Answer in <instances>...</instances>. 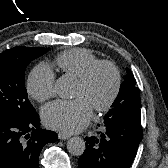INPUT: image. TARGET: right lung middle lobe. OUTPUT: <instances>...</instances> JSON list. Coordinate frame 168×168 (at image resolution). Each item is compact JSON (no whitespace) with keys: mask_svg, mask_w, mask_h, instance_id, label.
<instances>
[{"mask_svg":"<svg viewBox=\"0 0 168 168\" xmlns=\"http://www.w3.org/2000/svg\"><path fill=\"white\" fill-rule=\"evenodd\" d=\"M49 50L19 46L0 54V117L27 119L37 114L25 89V69Z\"/></svg>","mask_w":168,"mask_h":168,"instance_id":"1","label":"right lung middle lobe"}]
</instances>
